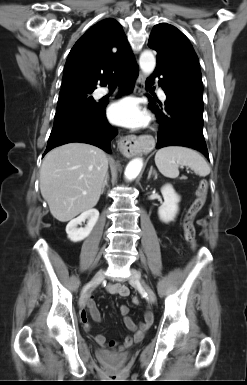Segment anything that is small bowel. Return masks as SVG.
I'll return each mask as SVG.
<instances>
[{
    "mask_svg": "<svg viewBox=\"0 0 247 385\" xmlns=\"http://www.w3.org/2000/svg\"><path fill=\"white\" fill-rule=\"evenodd\" d=\"M106 290L110 295H118L122 297L129 295V288L125 284H108L106 286ZM119 311L123 316L125 326L129 331L133 333V335L127 337L122 344L116 346L117 351L122 352L126 348H128L133 342L138 341L142 337L143 333L152 325L154 318L153 314L150 311H147L144 314L143 322L137 324L129 315V309L127 306H120ZM89 317H91L95 321L101 320V314L96 306L95 298L92 295H89L85 307H83L80 312V320L83 324L84 329L87 331L91 329V325L88 320ZM94 339L100 347H103L106 343V338L102 334H96Z\"/></svg>",
    "mask_w": 247,
    "mask_h": 385,
    "instance_id": "small-bowel-1",
    "label": "small bowel"
}]
</instances>
